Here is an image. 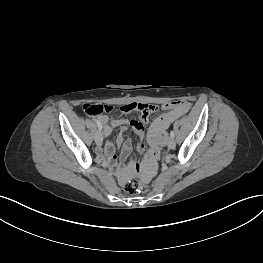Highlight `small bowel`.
Masks as SVG:
<instances>
[{
  "instance_id": "1",
  "label": "small bowel",
  "mask_w": 263,
  "mask_h": 263,
  "mask_svg": "<svg viewBox=\"0 0 263 263\" xmlns=\"http://www.w3.org/2000/svg\"><path fill=\"white\" fill-rule=\"evenodd\" d=\"M182 114L183 113L177 109V106L174 103H165L158 110L159 117L154 119L153 125L149 128L148 141L151 147L148 148L147 156L143 159L144 176H153L155 168L157 164L160 163L161 155L163 154L164 131L167 130L168 126ZM149 116L150 115L148 114L141 115L140 119L127 120L123 118L110 119L107 115H100L97 120L102 124L105 136L110 135L114 128H120L122 133L126 131L128 127H131L138 136L136 148L138 151H143L145 148L143 144L145 125L149 120ZM116 145L122 146L120 154L121 162L117 165L116 171L119 178L124 179L127 176V171L123 161L131 152L132 143L129 140L124 141L122 134H120L116 140ZM100 154L108 161L115 160V145L112 142H106L100 149ZM132 169L136 175H139L142 172L141 163L138 160H135L132 163Z\"/></svg>"
}]
</instances>
